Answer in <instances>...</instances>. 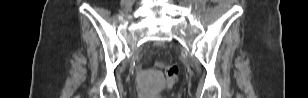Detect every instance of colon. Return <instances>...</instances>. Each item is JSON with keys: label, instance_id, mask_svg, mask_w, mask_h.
I'll return each mask as SVG.
<instances>
[{"label": "colon", "instance_id": "1", "mask_svg": "<svg viewBox=\"0 0 308 98\" xmlns=\"http://www.w3.org/2000/svg\"><path fill=\"white\" fill-rule=\"evenodd\" d=\"M166 76V85L169 89L173 88L178 80L179 68L177 65H161Z\"/></svg>", "mask_w": 308, "mask_h": 98}]
</instances>
